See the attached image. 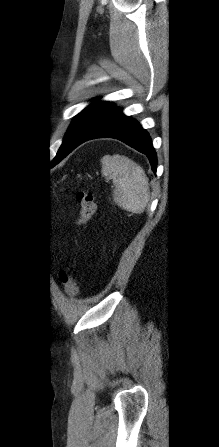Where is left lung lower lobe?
I'll return each mask as SVG.
<instances>
[{
  "label": "left lung lower lobe",
  "instance_id": "0a47b994",
  "mask_svg": "<svg viewBox=\"0 0 219 447\" xmlns=\"http://www.w3.org/2000/svg\"><path fill=\"white\" fill-rule=\"evenodd\" d=\"M121 111L122 110L119 108L114 109L93 133L82 141L73 144L62 155L54 158L52 161L53 165L59 163L66 155H68L81 143L91 139L109 137L121 140L137 151L145 154L150 161L153 172L155 173L157 158L149 134L137 121L131 117L123 115Z\"/></svg>",
  "mask_w": 219,
  "mask_h": 447
}]
</instances>
